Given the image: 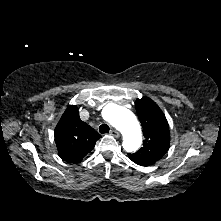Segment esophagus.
<instances>
[{
  "label": "esophagus",
  "instance_id": "34e87169",
  "mask_svg": "<svg viewBox=\"0 0 221 221\" xmlns=\"http://www.w3.org/2000/svg\"><path fill=\"white\" fill-rule=\"evenodd\" d=\"M110 134H111L112 136L116 137V138L120 137V133H119L117 130H115V129H112V130L110 131Z\"/></svg>",
  "mask_w": 221,
  "mask_h": 221
}]
</instances>
